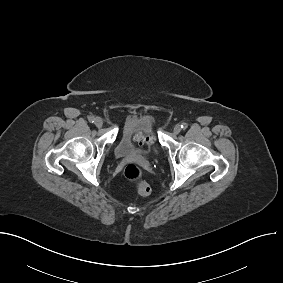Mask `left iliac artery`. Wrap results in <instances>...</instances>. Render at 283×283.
<instances>
[{"label":"left iliac artery","mask_w":283,"mask_h":283,"mask_svg":"<svg viewBox=\"0 0 283 283\" xmlns=\"http://www.w3.org/2000/svg\"><path fill=\"white\" fill-rule=\"evenodd\" d=\"M187 127H188L187 123L184 122V123L181 124V128L183 130H185Z\"/></svg>","instance_id":"1"}]
</instances>
